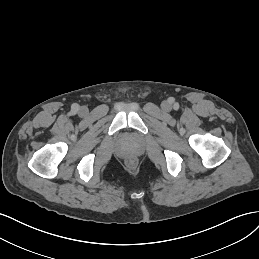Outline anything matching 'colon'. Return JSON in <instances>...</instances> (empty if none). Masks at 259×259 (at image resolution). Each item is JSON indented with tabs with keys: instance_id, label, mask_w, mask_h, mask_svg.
I'll return each mask as SVG.
<instances>
[{
	"instance_id": "5ec220e1",
	"label": "colon",
	"mask_w": 259,
	"mask_h": 259,
	"mask_svg": "<svg viewBox=\"0 0 259 259\" xmlns=\"http://www.w3.org/2000/svg\"><path fill=\"white\" fill-rule=\"evenodd\" d=\"M126 164H127V166H129V167H134V166H136V164H137V160H136V158H134V157H129V158H127V160H126Z\"/></svg>"
}]
</instances>
